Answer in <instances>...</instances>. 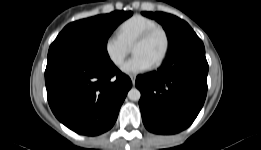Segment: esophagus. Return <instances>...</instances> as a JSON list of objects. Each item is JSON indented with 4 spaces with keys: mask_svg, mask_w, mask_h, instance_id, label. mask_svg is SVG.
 I'll return each mask as SVG.
<instances>
[{
    "mask_svg": "<svg viewBox=\"0 0 261 150\" xmlns=\"http://www.w3.org/2000/svg\"><path fill=\"white\" fill-rule=\"evenodd\" d=\"M130 79L132 81V84L135 85L136 76L135 75H130Z\"/></svg>",
    "mask_w": 261,
    "mask_h": 150,
    "instance_id": "1",
    "label": "esophagus"
}]
</instances>
